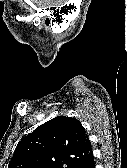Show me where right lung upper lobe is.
<instances>
[{"mask_svg": "<svg viewBox=\"0 0 127 168\" xmlns=\"http://www.w3.org/2000/svg\"><path fill=\"white\" fill-rule=\"evenodd\" d=\"M92 156L80 121L58 116L18 143L8 168H74Z\"/></svg>", "mask_w": 127, "mask_h": 168, "instance_id": "obj_1", "label": "right lung upper lobe"}]
</instances>
